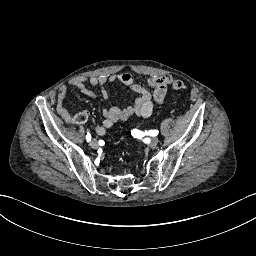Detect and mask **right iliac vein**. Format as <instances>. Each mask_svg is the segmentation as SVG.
Wrapping results in <instances>:
<instances>
[{
	"label": "right iliac vein",
	"mask_w": 256,
	"mask_h": 256,
	"mask_svg": "<svg viewBox=\"0 0 256 256\" xmlns=\"http://www.w3.org/2000/svg\"><path fill=\"white\" fill-rule=\"evenodd\" d=\"M90 146H91L93 149H97V148H98L97 140H96V139H92V140L90 141Z\"/></svg>",
	"instance_id": "right-iliac-vein-1"
}]
</instances>
